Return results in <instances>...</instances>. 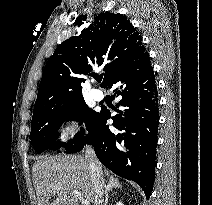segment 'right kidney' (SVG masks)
Returning <instances> with one entry per match:
<instances>
[{"instance_id":"obj_1","label":"right kidney","mask_w":212,"mask_h":205,"mask_svg":"<svg viewBox=\"0 0 212 205\" xmlns=\"http://www.w3.org/2000/svg\"><path fill=\"white\" fill-rule=\"evenodd\" d=\"M116 205H123L121 201L117 202Z\"/></svg>"}]
</instances>
